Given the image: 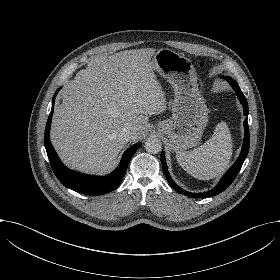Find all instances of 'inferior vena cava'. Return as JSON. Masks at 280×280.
I'll return each mask as SVG.
<instances>
[{
	"label": "inferior vena cava",
	"instance_id": "obj_1",
	"mask_svg": "<svg viewBox=\"0 0 280 280\" xmlns=\"http://www.w3.org/2000/svg\"><path fill=\"white\" fill-rule=\"evenodd\" d=\"M119 137L122 141L124 142H129L133 139V134L130 132L129 129L123 128L120 132H119Z\"/></svg>",
	"mask_w": 280,
	"mask_h": 280
}]
</instances>
